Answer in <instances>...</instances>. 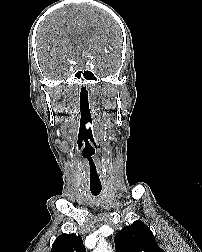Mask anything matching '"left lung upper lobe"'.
Returning <instances> with one entry per match:
<instances>
[{
	"label": "left lung upper lobe",
	"instance_id": "5c2ea615",
	"mask_svg": "<svg viewBox=\"0 0 202 252\" xmlns=\"http://www.w3.org/2000/svg\"><path fill=\"white\" fill-rule=\"evenodd\" d=\"M117 252H164L151 230L141 221L124 227L115 237Z\"/></svg>",
	"mask_w": 202,
	"mask_h": 252
}]
</instances>
